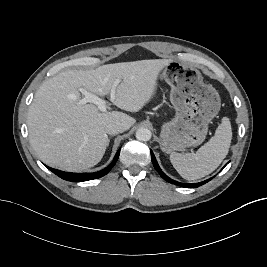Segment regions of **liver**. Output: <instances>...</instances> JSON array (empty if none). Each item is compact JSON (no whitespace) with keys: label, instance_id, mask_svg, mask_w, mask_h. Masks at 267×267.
<instances>
[{"label":"liver","instance_id":"6515ba94","mask_svg":"<svg viewBox=\"0 0 267 267\" xmlns=\"http://www.w3.org/2000/svg\"><path fill=\"white\" fill-rule=\"evenodd\" d=\"M170 60L150 59L107 64L93 70H68L44 81L28 110L30 144L48 166L78 171L98 164L108 146L107 124L129 129L136 120L119 112H100L92 103L80 104V88L108 96L115 83L118 108L137 112L151 99L160 71ZM111 99V97H110Z\"/></svg>","mask_w":267,"mask_h":267}]
</instances>
